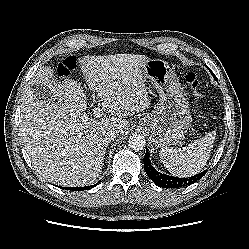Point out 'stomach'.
I'll list each match as a JSON object with an SVG mask.
<instances>
[{"mask_svg": "<svg viewBox=\"0 0 249 249\" xmlns=\"http://www.w3.org/2000/svg\"><path fill=\"white\" fill-rule=\"evenodd\" d=\"M142 68L159 94V103L140 124L151 131L150 138L158 147L181 142L189 129L191 114L173 67L162 59H148Z\"/></svg>", "mask_w": 249, "mask_h": 249, "instance_id": "obj_1", "label": "stomach"}]
</instances>
